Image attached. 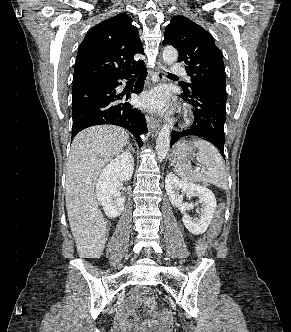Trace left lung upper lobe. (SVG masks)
I'll return each mask as SVG.
<instances>
[{
  "label": "left lung upper lobe",
  "instance_id": "1",
  "mask_svg": "<svg viewBox=\"0 0 291 332\" xmlns=\"http://www.w3.org/2000/svg\"><path fill=\"white\" fill-rule=\"evenodd\" d=\"M163 45H172L179 51V62L192 77L191 83L180 82L183 90L190 91L199 84L226 87L222 52L212 35L184 16H174L164 33Z\"/></svg>",
  "mask_w": 291,
  "mask_h": 332
}]
</instances>
